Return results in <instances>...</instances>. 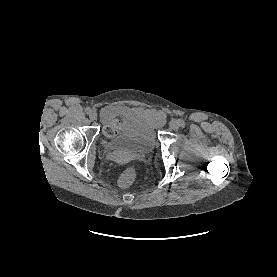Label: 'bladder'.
<instances>
[{
  "mask_svg": "<svg viewBox=\"0 0 277 277\" xmlns=\"http://www.w3.org/2000/svg\"><path fill=\"white\" fill-rule=\"evenodd\" d=\"M117 132L108 136L106 148L114 153L148 154L157 141L159 122L149 114L130 113L115 118Z\"/></svg>",
  "mask_w": 277,
  "mask_h": 277,
  "instance_id": "31cf9c89",
  "label": "bladder"
}]
</instances>
